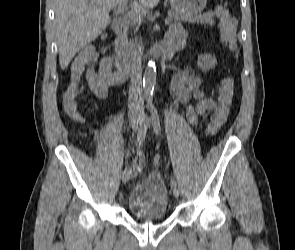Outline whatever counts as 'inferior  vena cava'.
I'll use <instances>...</instances> for the list:
<instances>
[{
  "mask_svg": "<svg viewBox=\"0 0 295 250\" xmlns=\"http://www.w3.org/2000/svg\"><path fill=\"white\" fill-rule=\"evenodd\" d=\"M133 49L134 70L129 86V112L131 116H143L144 106L141 83V53L143 47L138 44Z\"/></svg>",
  "mask_w": 295,
  "mask_h": 250,
  "instance_id": "602c4592",
  "label": "inferior vena cava"
}]
</instances>
